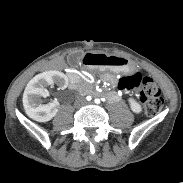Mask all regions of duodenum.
<instances>
[{
    "label": "duodenum",
    "mask_w": 183,
    "mask_h": 183,
    "mask_svg": "<svg viewBox=\"0 0 183 183\" xmlns=\"http://www.w3.org/2000/svg\"><path fill=\"white\" fill-rule=\"evenodd\" d=\"M79 81V77L76 74H69V85L70 88H75Z\"/></svg>",
    "instance_id": "410a0bca"
}]
</instances>
